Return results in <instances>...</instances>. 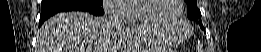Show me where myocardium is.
Masks as SVG:
<instances>
[{
    "label": "myocardium",
    "instance_id": "myocardium-1",
    "mask_svg": "<svg viewBox=\"0 0 261 52\" xmlns=\"http://www.w3.org/2000/svg\"><path fill=\"white\" fill-rule=\"evenodd\" d=\"M151 0H141L137 3L138 6V12L140 16L149 23H154V24H170L178 21V19L182 16L183 11H184V1L183 0H177L178 3V12L177 14L170 18V19H161V18H156L152 16H148L144 11H143V6L145 2H148Z\"/></svg>",
    "mask_w": 261,
    "mask_h": 52
}]
</instances>
